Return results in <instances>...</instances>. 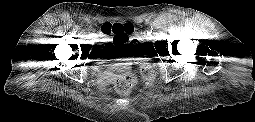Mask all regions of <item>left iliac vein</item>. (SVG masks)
I'll use <instances>...</instances> for the list:
<instances>
[{"mask_svg": "<svg viewBox=\"0 0 255 122\" xmlns=\"http://www.w3.org/2000/svg\"><path fill=\"white\" fill-rule=\"evenodd\" d=\"M144 37H145V38H149V37H150V34L145 33Z\"/></svg>", "mask_w": 255, "mask_h": 122, "instance_id": "4c4485c4", "label": "left iliac vein"}]
</instances>
